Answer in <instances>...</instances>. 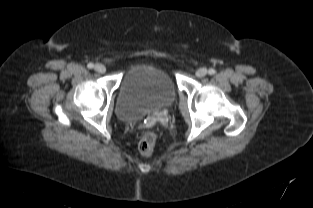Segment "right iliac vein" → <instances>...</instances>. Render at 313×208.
Segmentation results:
<instances>
[{"mask_svg": "<svg viewBox=\"0 0 313 208\" xmlns=\"http://www.w3.org/2000/svg\"><path fill=\"white\" fill-rule=\"evenodd\" d=\"M94 69L98 73H105V71H106V67L103 64H100V63L96 64Z\"/></svg>", "mask_w": 313, "mask_h": 208, "instance_id": "obj_1", "label": "right iliac vein"}]
</instances>
